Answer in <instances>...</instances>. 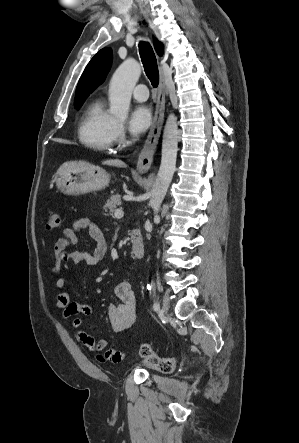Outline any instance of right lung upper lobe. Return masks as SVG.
Wrapping results in <instances>:
<instances>
[{
	"label": "right lung upper lobe",
	"mask_w": 299,
	"mask_h": 443,
	"mask_svg": "<svg viewBox=\"0 0 299 443\" xmlns=\"http://www.w3.org/2000/svg\"><path fill=\"white\" fill-rule=\"evenodd\" d=\"M154 47L158 55L163 54V45L154 40ZM112 63L111 48H103L91 59L79 79L74 105L83 103L89 94L98 87L106 78Z\"/></svg>",
	"instance_id": "1"
}]
</instances>
